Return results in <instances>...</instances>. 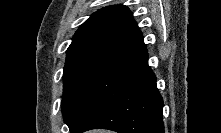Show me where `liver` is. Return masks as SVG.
Listing matches in <instances>:
<instances>
[{
    "instance_id": "1",
    "label": "liver",
    "mask_w": 221,
    "mask_h": 133,
    "mask_svg": "<svg viewBox=\"0 0 221 133\" xmlns=\"http://www.w3.org/2000/svg\"><path fill=\"white\" fill-rule=\"evenodd\" d=\"M90 133H104L103 131H93V132H90Z\"/></svg>"
}]
</instances>
